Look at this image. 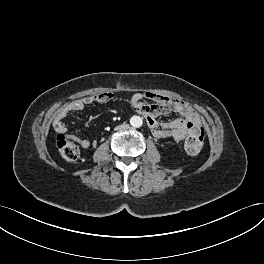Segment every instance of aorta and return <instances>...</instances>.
<instances>
[{"mask_svg":"<svg viewBox=\"0 0 264 264\" xmlns=\"http://www.w3.org/2000/svg\"><path fill=\"white\" fill-rule=\"evenodd\" d=\"M130 124L132 127L139 128L142 126L143 120L140 116L135 115L130 118Z\"/></svg>","mask_w":264,"mask_h":264,"instance_id":"1","label":"aorta"}]
</instances>
